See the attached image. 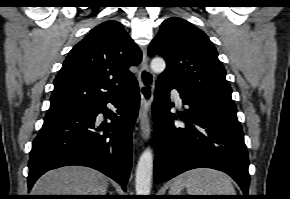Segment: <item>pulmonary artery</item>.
<instances>
[{
    "label": "pulmonary artery",
    "mask_w": 290,
    "mask_h": 199,
    "mask_svg": "<svg viewBox=\"0 0 290 199\" xmlns=\"http://www.w3.org/2000/svg\"><path fill=\"white\" fill-rule=\"evenodd\" d=\"M173 97H174L175 101H176L179 105L182 104V99H181L180 94H179L178 91H176V90L173 91Z\"/></svg>",
    "instance_id": "pulmonary-artery-1"
}]
</instances>
